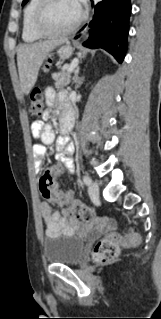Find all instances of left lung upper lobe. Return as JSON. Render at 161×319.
Segmentation results:
<instances>
[{
    "mask_svg": "<svg viewBox=\"0 0 161 319\" xmlns=\"http://www.w3.org/2000/svg\"><path fill=\"white\" fill-rule=\"evenodd\" d=\"M28 2V0H23L22 5H25Z\"/></svg>",
    "mask_w": 161,
    "mask_h": 319,
    "instance_id": "1",
    "label": "left lung upper lobe"
}]
</instances>
